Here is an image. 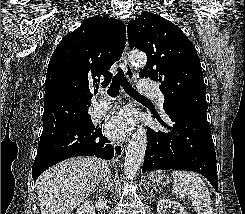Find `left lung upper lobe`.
Masks as SVG:
<instances>
[{"instance_id":"obj_1","label":"left lung upper lobe","mask_w":245,"mask_h":214,"mask_svg":"<svg viewBox=\"0 0 245 214\" xmlns=\"http://www.w3.org/2000/svg\"><path fill=\"white\" fill-rule=\"evenodd\" d=\"M129 47L147 55L140 77L160 82L167 114L181 109L208 108L200 59L193 43L172 22L143 12L127 26Z\"/></svg>"}]
</instances>
